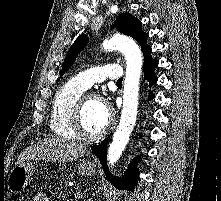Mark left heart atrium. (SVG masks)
<instances>
[{
    "mask_svg": "<svg viewBox=\"0 0 221 201\" xmlns=\"http://www.w3.org/2000/svg\"><path fill=\"white\" fill-rule=\"evenodd\" d=\"M106 112H107V114L109 115V117H110V111L106 108Z\"/></svg>",
    "mask_w": 221,
    "mask_h": 201,
    "instance_id": "left-heart-atrium-1",
    "label": "left heart atrium"
}]
</instances>
